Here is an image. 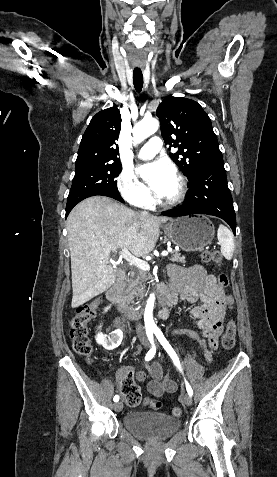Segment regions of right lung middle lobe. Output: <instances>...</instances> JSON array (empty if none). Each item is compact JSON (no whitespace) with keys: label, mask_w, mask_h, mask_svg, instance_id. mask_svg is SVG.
I'll return each mask as SVG.
<instances>
[{"label":"right lung middle lobe","mask_w":277,"mask_h":477,"mask_svg":"<svg viewBox=\"0 0 277 477\" xmlns=\"http://www.w3.org/2000/svg\"><path fill=\"white\" fill-rule=\"evenodd\" d=\"M121 170V163L89 164L76 167L66 210H71L77 203L91 196L120 195L115 178Z\"/></svg>","instance_id":"obj_1"}]
</instances>
